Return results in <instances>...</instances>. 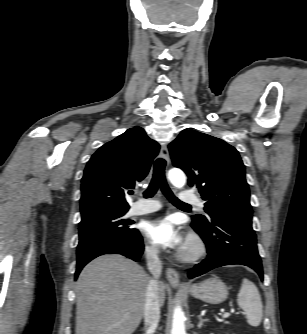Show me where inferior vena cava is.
Segmentation results:
<instances>
[{"mask_svg": "<svg viewBox=\"0 0 307 334\" xmlns=\"http://www.w3.org/2000/svg\"><path fill=\"white\" fill-rule=\"evenodd\" d=\"M147 265L152 278H150L146 302L144 306V322L146 334H152L158 326L160 320V296H159V277L162 272V263L158 257L159 250L156 247L146 248Z\"/></svg>", "mask_w": 307, "mask_h": 334, "instance_id": "602c4592", "label": "inferior vena cava"}]
</instances>
